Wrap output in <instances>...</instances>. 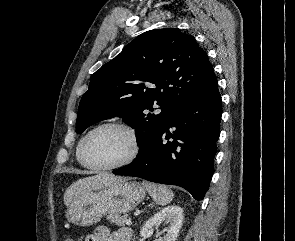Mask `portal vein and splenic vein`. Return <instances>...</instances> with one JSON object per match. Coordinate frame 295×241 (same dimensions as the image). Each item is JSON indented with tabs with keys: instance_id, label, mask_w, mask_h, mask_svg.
<instances>
[{
	"instance_id": "obj_1",
	"label": "portal vein and splenic vein",
	"mask_w": 295,
	"mask_h": 241,
	"mask_svg": "<svg viewBox=\"0 0 295 241\" xmlns=\"http://www.w3.org/2000/svg\"><path fill=\"white\" fill-rule=\"evenodd\" d=\"M125 223H126L127 225H132V221H131L130 219H126V220H125Z\"/></svg>"
}]
</instances>
